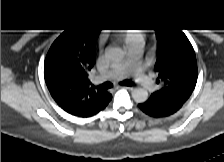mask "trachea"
<instances>
[{"mask_svg": "<svg viewBox=\"0 0 224 162\" xmlns=\"http://www.w3.org/2000/svg\"><path fill=\"white\" fill-rule=\"evenodd\" d=\"M120 84L124 85V86H132L134 83L131 80H124ZM112 87H113V84L110 83V82H105V83L98 86V88L102 89V90H107V89L112 88Z\"/></svg>", "mask_w": 224, "mask_h": 162, "instance_id": "obj_1", "label": "trachea"}]
</instances>
